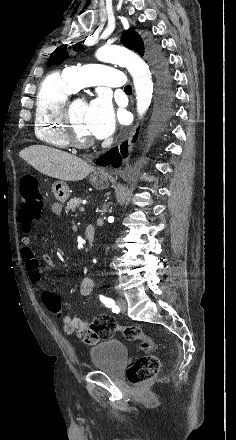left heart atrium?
I'll return each mask as SVG.
<instances>
[{"label":"left heart atrium","instance_id":"1","mask_svg":"<svg viewBox=\"0 0 236 440\" xmlns=\"http://www.w3.org/2000/svg\"><path fill=\"white\" fill-rule=\"evenodd\" d=\"M85 121L93 137L103 139L113 133L116 126L115 112L106 95L98 96L87 105Z\"/></svg>","mask_w":236,"mask_h":440}]
</instances>
